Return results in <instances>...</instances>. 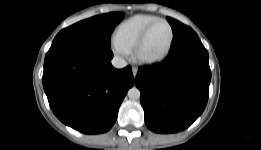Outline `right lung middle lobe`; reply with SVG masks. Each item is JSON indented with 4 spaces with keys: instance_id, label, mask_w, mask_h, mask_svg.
Wrapping results in <instances>:
<instances>
[{
    "instance_id": "dd1d6c3e",
    "label": "right lung middle lobe",
    "mask_w": 261,
    "mask_h": 150,
    "mask_svg": "<svg viewBox=\"0 0 261 150\" xmlns=\"http://www.w3.org/2000/svg\"><path fill=\"white\" fill-rule=\"evenodd\" d=\"M124 15L114 12L94 16L60 31L51 48L65 44H82L101 48H110V36Z\"/></svg>"
}]
</instances>
